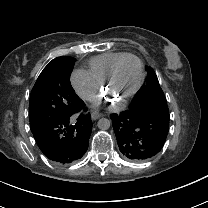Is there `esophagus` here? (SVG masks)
I'll return each mask as SVG.
<instances>
[{
  "instance_id": "1",
  "label": "esophagus",
  "mask_w": 208,
  "mask_h": 208,
  "mask_svg": "<svg viewBox=\"0 0 208 208\" xmlns=\"http://www.w3.org/2000/svg\"><path fill=\"white\" fill-rule=\"evenodd\" d=\"M100 117H102V114H101V113H98V112H92V113H91V118H92V120H97V119H99Z\"/></svg>"
}]
</instances>
